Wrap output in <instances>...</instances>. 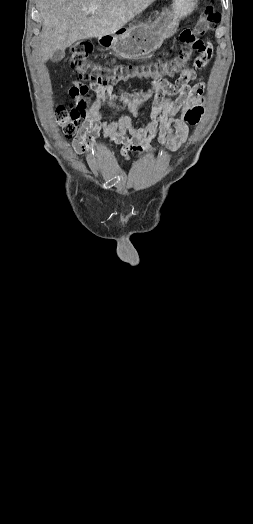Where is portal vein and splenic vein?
<instances>
[{
  "label": "portal vein and splenic vein",
  "mask_w": 253,
  "mask_h": 524,
  "mask_svg": "<svg viewBox=\"0 0 253 524\" xmlns=\"http://www.w3.org/2000/svg\"><path fill=\"white\" fill-rule=\"evenodd\" d=\"M95 8L94 7H91L90 10H94Z\"/></svg>",
  "instance_id": "obj_1"
}]
</instances>
